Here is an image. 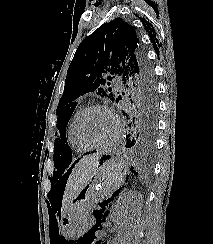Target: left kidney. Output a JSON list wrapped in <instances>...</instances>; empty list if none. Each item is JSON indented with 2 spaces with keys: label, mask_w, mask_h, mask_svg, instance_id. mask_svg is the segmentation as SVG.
Masks as SVG:
<instances>
[{
  "label": "left kidney",
  "mask_w": 213,
  "mask_h": 244,
  "mask_svg": "<svg viewBox=\"0 0 213 244\" xmlns=\"http://www.w3.org/2000/svg\"><path fill=\"white\" fill-rule=\"evenodd\" d=\"M141 199L140 194L130 191L121 196L111 208L112 221L123 230V236L118 238V242L121 244H125L137 228Z\"/></svg>",
  "instance_id": "1"
}]
</instances>
